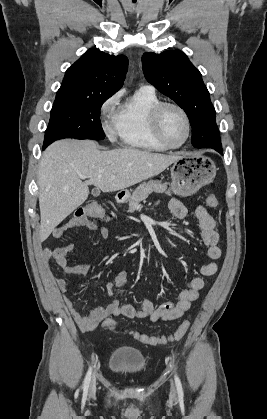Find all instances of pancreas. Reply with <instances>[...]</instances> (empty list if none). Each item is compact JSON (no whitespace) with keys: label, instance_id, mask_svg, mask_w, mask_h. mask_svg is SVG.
<instances>
[{"label":"pancreas","instance_id":"pancreas-1","mask_svg":"<svg viewBox=\"0 0 267 419\" xmlns=\"http://www.w3.org/2000/svg\"><path fill=\"white\" fill-rule=\"evenodd\" d=\"M152 192L166 193L170 195V191L167 190L165 183H162L159 180H150L148 182H144L136 188L130 197L129 211L135 212L138 210L140 208V202L145 200Z\"/></svg>","mask_w":267,"mask_h":419}]
</instances>
